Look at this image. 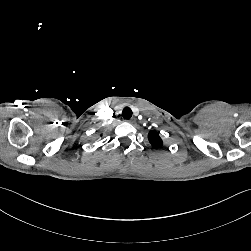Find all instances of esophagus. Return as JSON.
Here are the masks:
<instances>
[{
	"instance_id": "34e87169",
	"label": "esophagus",
	"mask_w": 251,
	"mask_h": 251,
	"mask_svg": "<svg viewBox=\"0 0 251 251\" xmlns=\"http://www.w3.org/2000/svg\"><path fill=\"white\" fill-rule=\"evenodd\" d=\"M126 122L131 123L132 121L131 120H126Z\"/></svg>"
}]
</instances>
